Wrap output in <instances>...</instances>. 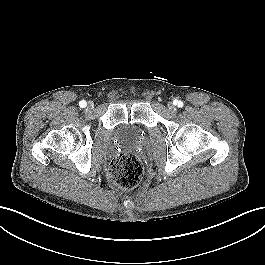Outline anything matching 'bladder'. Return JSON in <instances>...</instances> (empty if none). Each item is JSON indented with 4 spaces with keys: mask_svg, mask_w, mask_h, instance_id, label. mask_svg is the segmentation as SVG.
<instances>
[{
    "mask_svg": "<svg viewBox=\"0 0 265 265\" xmlns=\"http://www.w3.org/2000/svg\"><path fill=\"white\" fill-rule=\"evenodd\" d=\"M122 135L133 140L141 136V131L133 126H128L122 129Z\"/></svg>",
    "mask_w": 265,
    "mask_h": 265,
    "instance_id": "31cf9c89",
    "label": "bladder"
}]
</instances>
